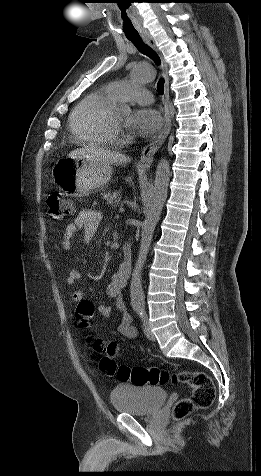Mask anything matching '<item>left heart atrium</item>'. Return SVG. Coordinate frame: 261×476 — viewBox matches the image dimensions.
Listing matches in <instances>:
<instances>
[{
  "mask_svg": "<svg viewBox=\"0 0 261 476\" xmlns=\"http://www.w3.org/2000/svg\"><path fill=\"white\" fill-rule=\"evenodd\" d=\"M127 124L135 133L141 136H150L160 128L162 118L155 109L140 108L131 114Z\"/></svg>",
  "mask_w": 261,
  "mask_h": 476,
  "instance_id": "1",
  "label": "left heart atrium"
}]
</instances>
